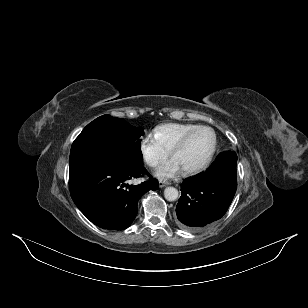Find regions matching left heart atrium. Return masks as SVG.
<instances>
[{
    "instance_id": "left-heart-atrium-1",
    "label": "left heart atrium",
    "mask_w": 308,
    "mask_h": 308,
    "mask_svg": "<svg viewBox=\"0 0 308 308\" xmlns=\"http://www.w3.org/2000/svg\"><path fill=\"white\" fill-rule=\"evenodd\" d=\"M181 171V166L175 159L172 158L157 168L155 175L159 178H170L176 176Z\"/></svg>"
}]
</instances>
